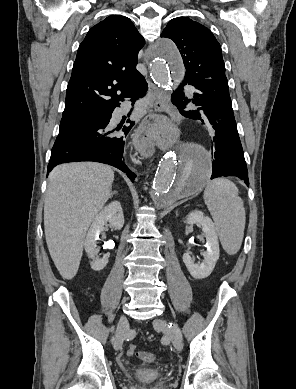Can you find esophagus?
I'll list each match as a JSON object with an SVG mask.
<instances>
[{
  "label": "esophagus",
  "instance_id": "1",
  "mask_svg": "<svg viewBox=\"0 0 296 389\" xmlns=\"http://www.w3.org/2000/svg\"><path fill=\"white\" fill-rule=\"evenodd\" d=\"M148 90L156 112H149L145 122H139L132 135V146L143 157L152 153L151 143L156 131H169L172 127L167 96L149 79Z\"/></svg>",
  "mask_w": 296,
  "mask_h": 389
}]
</instances>
